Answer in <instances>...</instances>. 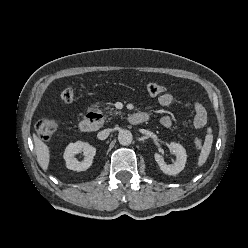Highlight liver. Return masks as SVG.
I'll list each match as a JSON object with an SVG mask.
<instances>
[{"label":"liver","mask_w":248,"mask_h":248,"mask_svg":"<svg viewBox=\"0 0 248 248\" xmlns=\"http://www.w3.org/2000/svg\"><path fill=\"white\" fill-rule=\"evenodd\" d=\"M35 153L40 167L46 171L50 161L49 147L35 134L33 135Z\"/></svg>","instance_id":"obj_1"}]
</instances>
